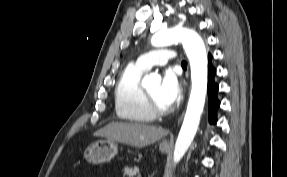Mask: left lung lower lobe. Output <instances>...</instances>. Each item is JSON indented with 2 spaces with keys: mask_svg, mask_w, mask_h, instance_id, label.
Segmentation results:
<instances>
[{
  "mask_svg": "<svg viewBox=\"0 0 287 177\" xmlns=\"http://www.w3.org/2000/svg\"><path fill=\"white\" fill-rule=\"evenodd\" d=\"M212 56L208 55V118L211 124L217 122V110L220 106L218 100V84L215 82L216 69L212 66Z\"/></svg>",
  "mask_w": 287,
  "mask_h": 177,
  "instance_id": "1",
  "label": "left lung lower lobe"
}]
</instances>
